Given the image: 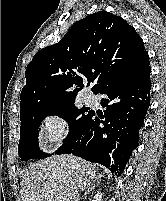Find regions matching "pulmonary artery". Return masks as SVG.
<instances>
[{"label":"pulmonary artery","instance_id":"1","mask_svg":"<svg viewBox=\"0 0 166 201\" xmlns=\"http://www.w3.org/2000/svg\"><path fill=\"white\" fill-rule=\"evenodd\" d=\"M86 103H90L92 101V96L90 94H86L84 97Z\"/></svg>","mask_w":166,"mask_h":201}]
</instances>
